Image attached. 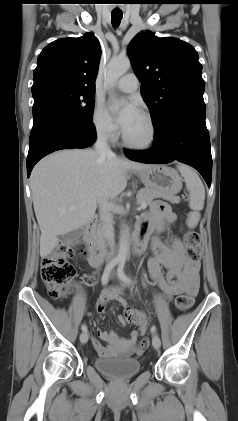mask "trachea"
Returning a JSON list of instances; mask_svg holds the SVG:
<instances>
[{"label":"trachea","mask_w":238,"mask_h":421,"mask_svg":"<svg viewBox=\"0 0 238 421\" xmlns=\"http://www.w3.org/2000/svg\"><path fill=\"white\" fill-rule=\"evenodd\" d=\"M123 14L122 13H111V21L112 25L114 27H118L121 20H122Z\"/></svg>","instance_id":"1"}]
</instances>
